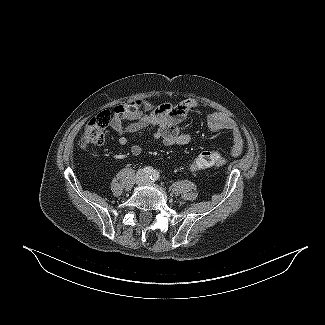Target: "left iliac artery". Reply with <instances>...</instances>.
Wrapping results in <instances>:
<instances>
[{
	"mask_svg": "<svg viewBox=\"0 0 325 325\" xmlns=\"http://www.w3.org/2000/svg\"><path fill=\"white\" fill-rule=\"evenodd\" d=\"M152 181H157L159 179V172L154 171V173L150 176Z\"/></svg>",
	"mask_w": 325,
	"mask_h": 325,
	"instance_id": "44dca946",
	"label": "left iliac artery"
}]
</instances>
